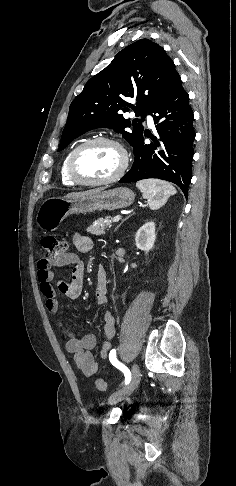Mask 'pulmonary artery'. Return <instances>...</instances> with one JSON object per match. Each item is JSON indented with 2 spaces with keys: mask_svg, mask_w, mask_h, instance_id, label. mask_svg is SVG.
Instances as JSON below:
<instances>
[{
  "mask_svg": "<svg viewBox=\"0 0 236 486\" xmlns=\"http://www.w3.org/2000/svg\"><path fill=\"white\" fill-rule=\"evenodd\" d=\"M147 122L149 126H153V117L151 115H147Z\"/></svg>",
  "mask_w": 236,
  "mask_h": 486,
  "instance_id": "1",
  "label": "pulmonary artery"
}]
</instances>
